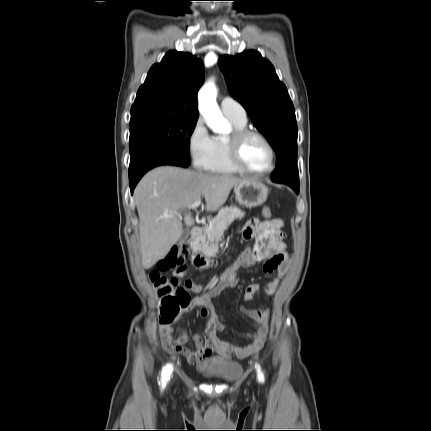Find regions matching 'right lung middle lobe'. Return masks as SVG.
I'll list each match as a JSON object with an SVG mask.
<instances>
[{
	"label": "right lung middle lobe",
	"mask_w": 431,
	"mask_h": 431,
	"mask_svg": "<svg viewBox=\"0 0 431 431\" xmlns=\"http://www.w3.org/2000/svg\"><path fill=\"white\" fill-rule=\"evenodd\" d=\"M197 118L149 114L130 119L131 159L151 148L168 150L190 163V136Z\"/></svg>",
	"instance_id": "right-lung-middle-lobe-1"
}]
</instances>
